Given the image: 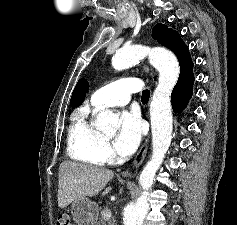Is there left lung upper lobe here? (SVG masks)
Instances as JSON below:
<instances>
[{
	"instance_id": "5c2ea615",
	"label": "left lung upper lobe",
	"mask_w": 237,
	"mask_h": 225,
	"mask_svg": "<svg viewBox=\"0 0 237 225\" xmlns=\"http://www.w3.org/2000/svg\"><path fill=\"white\" fill-rule=\"evenodd\" d=\"M152 37L176 54L180 64V72H192L193 63L188 48L181 40L178 32L169 29L166 25L157 24L153 28Z\"/></svg>"
}]
</instances>
